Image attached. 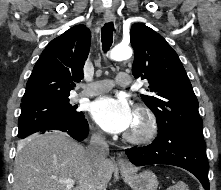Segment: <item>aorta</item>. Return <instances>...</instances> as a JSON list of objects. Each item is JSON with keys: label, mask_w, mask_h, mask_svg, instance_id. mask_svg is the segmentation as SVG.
<instances>
[{"label": "aorta", "mask_w": 221, "mask_h": 190, "mask_svg": "<svg viewBox=\"0 0 221 190\" xmlns=\"http://www.w3.org/2000/svg\"><path fill=\"white\" fill-rule=\"evenodd\" d=\"M132 56V49L129 46L117 45L110 52V59L114 61H122Z\"/></svg>", "instance_id": "762f6f07"}]
</instances>
